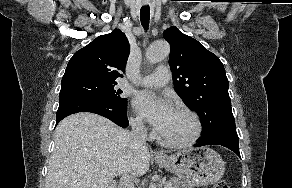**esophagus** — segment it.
Returning <instances> with one entry per match:
<instances>
[{"label":"esophagus","mask_w":292,"mask_h":188,"mask_svg":"<svg viewBox=\"0 0 292 188\" xmlns=\"http://www.w3.org/2000/svg\"><path fill=\"white\" fill-rule=\"evenodd\" d=\"M153 155L156 156V157H163V154L159 151H155L153 152Z\"/></svg>","instance_id":"1"}]
</instances>
